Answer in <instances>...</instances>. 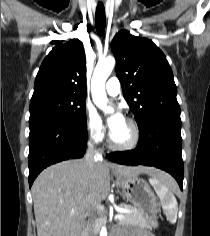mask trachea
Here are the masks:
<instances>
[{"mask_svg":"<svg viewBox=\"0 0 210 236\" xmlns=\"http://www.w3.org/2000/svg\"><path fill=\"white\" fill-rule=\"evenodd\" d=\"M106 17L103 3L99 2L96 8L95 25L98 35H103L105 29Z\"/></svg>","mask_w":210,"mask_h":236,"instance_id":"trachea-1","label":"trachea"}]
</instances>
